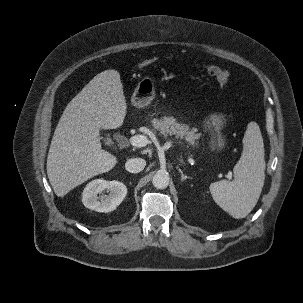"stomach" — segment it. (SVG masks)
I'll use <instances>...</instances> for the list:
<instances>
[{
  "label": "stomach",
  "mask_w": 303,
  "mask_h": 303,
  "mask_svg": "<svg viewBox=\"0 0 303 303\" xmlns=\"http://www.w3.org/2000/svg\"><path fill=\"white\" fill-rule=\"evenodd\" d=\"M155 96L154 81L150 77H144L137 84L135 91L131 97L132 104L137 108H143L151 103ZM226 123V117L222 113H214L205 121V127L209 130H214L215 135L212 134L211 146L213 149H223L225 140L221 135V130Z\"/></svg>",
  "instance_id": "stomach-1"
}]
</instances>
